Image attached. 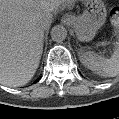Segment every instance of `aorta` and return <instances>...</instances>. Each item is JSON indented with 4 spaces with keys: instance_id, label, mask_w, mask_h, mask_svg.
Masks as SVG:
<instances>
[{
    "instance_id": "obj_1",
    "label": "aorta",
    "mask_w": 119,
    "mask_h": 119,
    "mask_svg": "<svg viewBox=\"0 0 119 119\" xmlns=\"http://www.w3.org/2000/svg\"><path fill=\"white\" fill-rule=\"evenodd\" d=\"M67 37V30L61 26V25H56L52 28L51 30V38L55 42H62L66 39Z\"/></svg>"
}]
</instances>
